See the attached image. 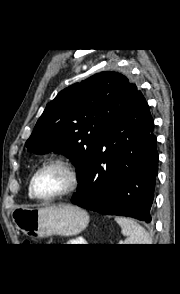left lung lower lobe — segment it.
<instances>
[{
    "label": "left lung lower lobe",
    "instance_id": "1",
    "mask_svg": "<svg viewBox=\"0 0 180 294\" xmlns=\"http://www.w3.org/2000/svg\"><path fill=\"white\" fill-rule=\"evenodd\" d=\"M154 121L139 91L97 149L71 202L107 215L151 222L158 171Z\"/></svg>",
    "mask_w": 180,
    "mask_h": 294
}]
</instances>
